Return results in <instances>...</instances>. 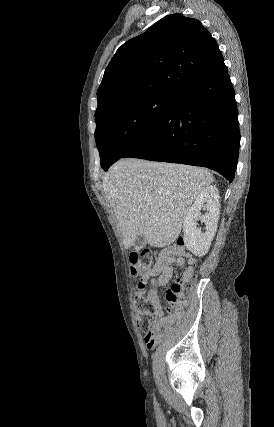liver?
I'll use <instances>...</instances> for the list:
<instances>
[{"label": "liver", "mask_w": 274, "mask_h": 427, "mask_svg": "<svg viewBox=\"0 0 274 427\" xmlns=\"http://www.w3.org/2000/svg\"><path fill=\"white\" fill-rule=\"evenodd\" d=\"M212 182L206 168L128 158L113 164L102 184L124 247L134 245L138 235L150 245L165 247L177 239L184 215Z\"/></svg>", "instance_id": "obj_1"}]
</instances>
